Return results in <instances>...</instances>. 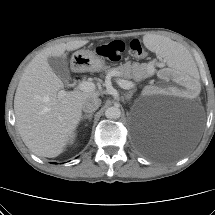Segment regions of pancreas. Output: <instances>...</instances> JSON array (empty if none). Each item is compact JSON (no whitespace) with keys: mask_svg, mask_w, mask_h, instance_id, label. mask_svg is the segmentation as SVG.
Returning <instances> with one entry per match:
<instances>
[{"mask_svg":"<svg viewBox=\"0 0 215 215\" xmlns=\"http://www.w3.org/2000/svg\"><path fill=\"white\" fill-rule=\"evenodd\" d=\"M117 73L120 74L121 77H123L126 80H129V79H135L136 81L140 80V78L136 76L135 71L133 70V67L129 63L120 65L116 68H111L107 71L108 75H113Z\"/></svg>","mask_w":215,"mask_h":215,"instance_id":"obj_1","label":"pancreas"}]
</instances>
